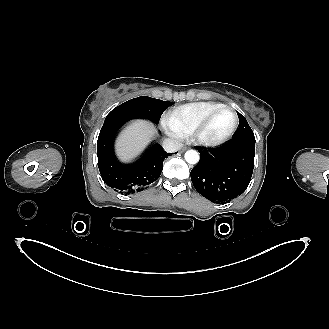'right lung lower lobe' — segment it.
<instances>
[{"label": "right lung lower lobe", "mask_w": 329, "mask_h": 329, "mask_svg": "<svg viewBox=\"0 0 329 329\" xmlns=\"http://www.w3.org/2000/svg\"><path fill=\"white\" fill-rule=\"evenodd\" d=\"M124 123L114 121L103 124L97 140L98 167L108 186L120 193L133 194L146 189L159 178L167 153L155 144L136 163H120L113 152V139Z\"/></svg>", "instance_id": "right-lung-lower-lobe-1"}]
</instances>
